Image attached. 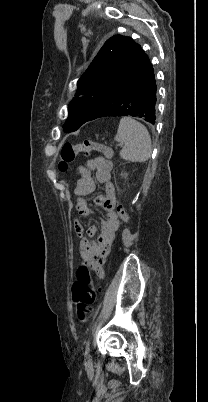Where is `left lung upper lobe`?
<instances>
[{
    "label": "left lung upper lobe",
    "instance_id": "left-lung-upper-lobe-1",
    "mask_svg": "<svg viewBox=\"0 0 208 402\" xmlns=\"http://www.w3.org/2000/svg\"><path fill=\"white\" fill-rule=\"evenodd\" d=\"M144 51L132 38L115 35L105 42L80 77L68 107L65 132L94 120L113 102L143 64Z\"/></svg>",
    "mask_w": 208,
    "mask_h": 402
}]
</instances>
